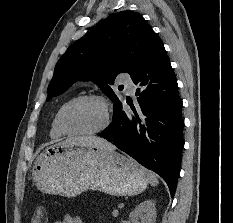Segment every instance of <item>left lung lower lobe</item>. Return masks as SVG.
<instances>
[{
    "instance_id": "left-lung-lower-lobe-1",
    "label": "left lung lower lobe",
    "mask_w": 233,
    "mask_h": 223,
    "mask_svg": "<svg viewBox=\"0 0 233 223\" xmlns=\"http://www.w3.org/2000/svg\"><path fill=\"white\" fill-rule=\"evenodd\" d=\"M132 80L138 86V104L129 112L121 106L112 123L98 136L159 174L173 197L184 146L183 103L160 38Z\"/></svg>"
}]
</instances>
